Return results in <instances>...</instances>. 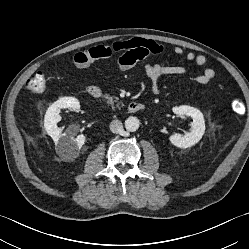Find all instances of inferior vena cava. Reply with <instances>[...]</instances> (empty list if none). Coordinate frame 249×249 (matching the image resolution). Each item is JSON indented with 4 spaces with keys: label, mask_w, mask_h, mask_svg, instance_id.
I'll use <instances>...</instances> for the list:
<instances>
[{
    "label": "inferior vena cava",
    "mask_w": 249,
    "mask_h": 249,
    "mask_svg": "<svg viewBox=\"0 0 249 249\" xmlns=\"http://www.w3.org/2000/svg\"><path fill=\"white\" fill-rule=\"evenodd\" d=\"M110 130L112 133H120L123 130L122 122L119 120H113L110 123Z\"/></svg>",
    "instance_id": "602c4592"
}]
</instances>
